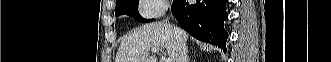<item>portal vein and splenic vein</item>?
Instances as JSON below:
<instances>
[{"mask_svg": "<svg viewBox=\"0 0 331 62\" xmlns=\"http://www.w3.org/2000/svg\"><path fill=\"white\" fill-rule=\"evenodd\" d=\"M151 51H152V53H156V52H158V49L153 48V49H151ZM161 52H162V51H161ZM164 62H172V60H171L170 58H165V59H164Z\"/></svg>", "mask_w": 331, "mask_h": 62, "instance_id": "18ae733b", "label": "portal vein and splenic vein"}]
</instances>
